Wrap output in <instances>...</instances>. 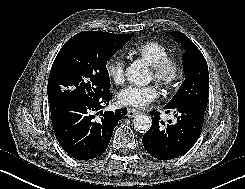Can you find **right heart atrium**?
Instances as JSON below:
<instances>
[{"instance_id":"1","label":"right heart atrium","mask_w":245,"mask_h":189,"mask_svg":"<svg viewBox=\"0 0 245 189\" xmlns=\"http://www.w3.org/2000/svg\"><path fill=\"white\" fill-rule=\"evenodd\" d=\"M124 69H125L124 60L118 56H113L109 58L105 63V71L107 75L116 84H122L124 82L125 79Z\"/></svg>"}]
</instances>
